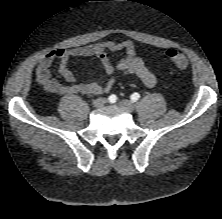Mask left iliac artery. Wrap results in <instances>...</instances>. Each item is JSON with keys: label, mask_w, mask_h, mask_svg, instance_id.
Returning a JSON list of instances; mask_svg holds the SVG:
<instances>
[{"label": "left iliac artery", "mask_w": 222, "mask_h": 219, "mask_svg": "<svg viewBox=\"0 0 222 219\" xmlns=\"http://www.w3.org/2000/svg\"><path fill=\"white\" fill-rule=\"evenodd\" d=\"M139 98H140V95H139L138 93H133V94L131 95V100H132L133 102L137 101Z\"/></svg>", "instance_id": "obj_1"}]
</instances>
